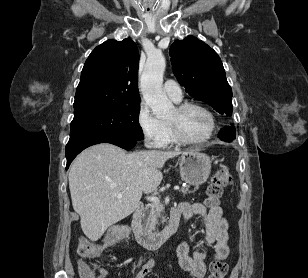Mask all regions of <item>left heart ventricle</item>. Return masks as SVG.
I'll use <instances>...</instances> for the list:
<instances>
[{
    "instance_id": "1",
    "label": "left heart ventricle",
    "mask_w": 308,
    "mask_h": 278,
    "mask_svg": "<svg viewBox=\"0 0 308 278\" xmlns=\"http://www.w3.org/2000/svg\"><path fill=\"white\" fill-rule=\"evenodd\" d=\"M167 121L176 124L191 139L204 138L210 129L209 117L197 108H190L183 112H178L174 108L168 115Z\"/></svg>"
}]
</instances>
